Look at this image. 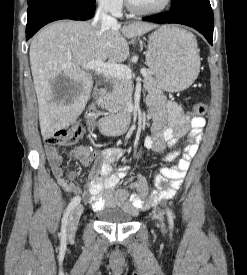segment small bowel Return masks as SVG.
Listing matches in <instances>:
<instances>
[{
  "instance_id": "small-bowel-1",
  "label": "small bowel",
  "mask_w": 247,
  "mask_h": 275,
  "mask_svg": "<svg viewBox=\"0 0 247 275\" xmlns=\"http://www.w3.org/2000/svg\"><path fill=\"white\" fill-rule=\"evenodd\" d=\"M147 104L154 122L151 135L144 139L145 148L161 153L169 147L170 152L164 161L177 160L176 165L163 166L159 169L155 177L156 190L150 192L146 178L141 175L135 176L129 189L118 188L120 181L129 172L128 166L113 170L114 163L122 156L121 149L79 148L76 154L82 165L87 166L94 162L88 175L86 190L82 191L72 182L76 177V171L72 170L65 174L62 157L55 146L47 144L45 150L48 162L58 183L66 192L81 195L95 211L104 208H120L132 214H136L154 202L168 200L176 194L186 176L190 161L198 151L206 120L202 116H188L177 103L168 101L160 95H150ZM165 125L168 127L164 128ZM185 135H188L189 142L180 155L177 141ZM162 182H168L167 186L162 188Z\"/></svg>"
}]
</instances>
